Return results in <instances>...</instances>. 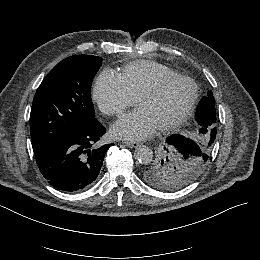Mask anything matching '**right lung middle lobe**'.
Listing matches in <instances>:
<instances>
[{
    "label": "right lung middle lobe",
    "mask_w": 260,
    "mask_h": 260,
    "mask_svg": "<svg viewBox=\"0 0 260 260\" xmlns=\"http://www.w3.org/2000/svg\"><path fill=\"white\" fill-rule=\"evenodd\" d=\"M101 62L98 56L74 55L42 81L30 114L34 154L78 136L96 121L90 88Z\"/></svg>",
    "instance_id": "obj_1"
}]
</instances>
